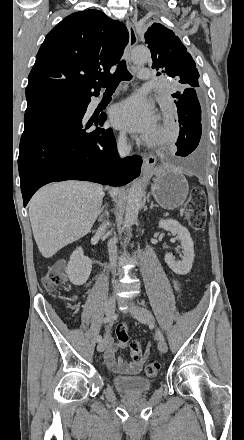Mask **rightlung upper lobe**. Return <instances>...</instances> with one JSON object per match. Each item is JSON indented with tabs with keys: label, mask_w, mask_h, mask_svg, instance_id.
Wrapping results in <instances>:
<instances>
[{
	"label": "right lung upper lobe",
	"mask_w": 244,
	"mask_h": 440,
	"mask_svg": "<svg viewBox=\"0 0 244 440\" xmlns=\"http://www.w3.org/2000/svg\"><path fill=\"white\" fill-rule=\"evenodd\" d=\"M129 41L123 23L89 9L64 18L46 36L28 76L26 98L87 99L111 76Z\"/></svg>",
	"instance_id": "obj_1"
}]
</instances>
